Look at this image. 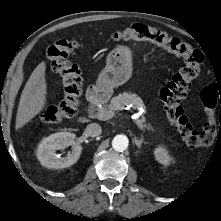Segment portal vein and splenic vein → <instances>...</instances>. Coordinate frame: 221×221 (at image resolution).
<instances>
[{
  "label": "portal vein and splenic vein",
  "mask_w": 221,
  "mask_h": 221,
  "mask_svg": "<svg viewBox=\"0 0 221 221\" xmlns=\"http://www.w3.org/2000/svg\"><path fill=\"white\" fill-rule=\"evenodd\" d=\"M114 116H115V113L113 111H110V110L99 109L98 112L96 113V117L99 120H109V119L113 118ZM134 119H135V122H136L137 126L140 129H143L144 126H143L141 120L138 119L137 117H135Z\"/></svg>",
  "instance_id": "1"
}]
</instances>
